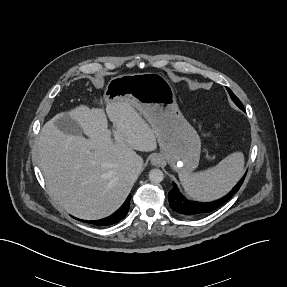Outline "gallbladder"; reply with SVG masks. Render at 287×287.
I'll return each instance as SVG.
<instances>
[{
  "instance_id": "1",
  "label": "gallbladder",
  "mask_w": 287,
  "mask_h": 287,
  "mask_svg": "<svg viewBox=\"0 0 287 287\" xmlns=\"http://www.w3.org/2000/svg\"><path fill=\"white\" fill-rule=\"evenodd\" d=\"M55 126L65 134L81 136L82 128L77 121L68 116H63L55 121Z\"/></svg>"
}]
</instances>
